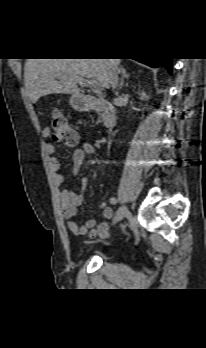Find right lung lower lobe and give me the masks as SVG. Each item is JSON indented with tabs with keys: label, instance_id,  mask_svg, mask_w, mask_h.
<instances>
[{
	"label": "right lung lower lobe",
	"instance_id": "right-lung-lower-lobe-1",
	"mask_svg": "<svg viewBox=\"0 0 206 348\" xmlns=\"http://www.w3.org/2000/svg\"><path fill=\"white\" fill-rule=\"evenodd\" d=\"M144 64L151 67H166L169 72H172V59L171 58H147V59H136Z\"/></svg>",
	"mask_w": 206,
	"mask_h": 348
}]
</instances>
